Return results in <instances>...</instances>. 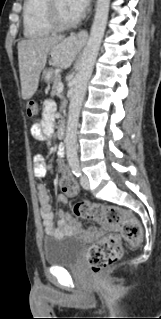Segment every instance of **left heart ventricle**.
<instances>
[{
	"label": "left heart ventricle",
	"instance_id": "left-heart-ventricle-1",
	"mask_svg": "<svg viewBox=\"0 0 161 319\" xmlns=\"http://www.w3.org/2000/svg\"><path fill=\"white\" fill-rule=\"evenodd\" d=\"M58 13L63 21H69L77 17L71 10L67 0H57Z\"/></svg>",
	"mask_w": 161,
	"mask_h": 319
}]
</instances>
